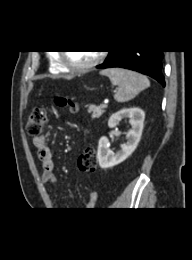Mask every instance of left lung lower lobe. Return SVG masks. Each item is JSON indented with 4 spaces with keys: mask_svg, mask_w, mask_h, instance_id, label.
Wrapping results in <instances>:
<instances>
[{
    "mask_svg": "<svg viewBox=\"0 0 192 260\" xmlns=\"http://www.w3.org/2000/svg\"><path fill=\"white\" fill-rule=\"evenodd\" d=\"M163 58L164 55L162 50L112 51V53L107 56L106 60L98 65L97 68L121 67L134 70L154 78L165 86V78L162 74Z\"/></svg>",
    "mask_w": 192,
    "mask_h": 260,
    "instance_id": "left-lung-lower-lobe-1",
    "label": "left lung lower lobe"
}]
</instances>
